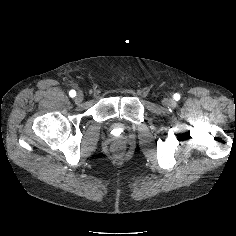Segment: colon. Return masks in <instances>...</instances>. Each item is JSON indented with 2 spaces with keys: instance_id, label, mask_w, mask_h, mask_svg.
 I'll return each instance as SVG.
<instances>
[{
  "instance_id": "colon-1",
  "label": "colon",
  "mask_w": 236,
  "mask_h": 236,
  "mask_svg": "<svg viewBox=\"0 0 236 236\" xmlns=\"http://www.w3.org/2000/svg\"><path fill=\"white\" fill-rule=\"evenodd\" d=\"M122 150H123V147L120 144H115L113 146V151L118 155L121 154Z\"/></svg>"
}]
</instances>
